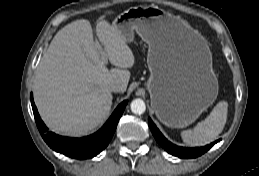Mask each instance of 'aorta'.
Returning <instances> with one entry per match:
<instances>
[{
    "mask_svg": "<svg viewBox=\"0 0 259 176\" xmlns=\"http://www.w3.org/2000/svg\"><path fill=\"white\" fill-rule=\"evenodd\" d=\"M130 108L132 113L141 115L145 112L146 105L142 99H134L130 104Z\"/></svg>",
    "mask_w": 259,
    "mask_h": 176,
    "instance_id": "762f6f07",
    "label": "aorta"
}]
</instances>
